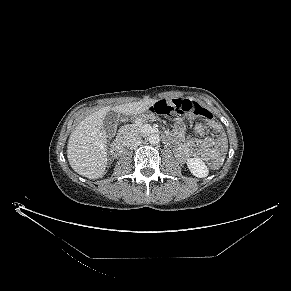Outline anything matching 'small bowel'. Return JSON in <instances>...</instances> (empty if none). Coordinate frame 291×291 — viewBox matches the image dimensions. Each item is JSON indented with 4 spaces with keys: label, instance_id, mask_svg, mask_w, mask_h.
Segmentation results:
<instances>
[{
    "label": "small bowel",
    "instance_id": "obj_1",
    "mask_svg": "<svg viewBox=\"0 0 291 291\" xmlns=\"http://www.w3.org/2000/svg\"><path fill=\"white\" fill-rule=\"evenodd\" d=\"M210 127L216 131V137L207 136L200 139L184 141L185 124L182 121H177L174 127V134L172 135V141L178 143L176 149L177 157L182 161L190 157H198L206 161L221 160L222 150L225 145V139L221 133V126L213 121ZM195 130L197 133H202L204 124L197 123Z\"/></svg>",
    "mask_w": 291,
    "mask_h": 291
}]
</instances>
